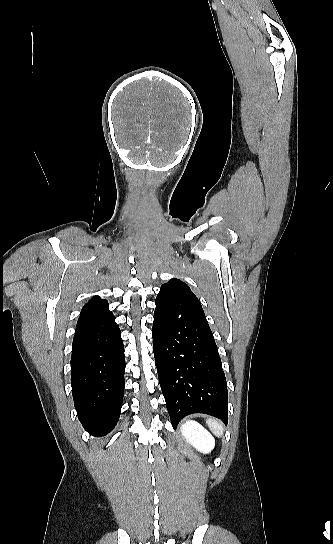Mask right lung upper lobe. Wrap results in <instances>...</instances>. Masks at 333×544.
I'll list each match as a JSON object with an SVG mask.
<instances>
[{
  "mask_svg": "<svg viewBox=\"0 0 333 544\" xmlns=\"http://www.w3.org/2000/svg\"><path fill=\"white\" fill-rule=\"evenodd\" d=\"M108 306L107 300L101 299L99 296H94L83 306L77 325L110 314L111 311L108 309Z\"/></svg>",
  "mask_w": 333,
  "mask_h": 544,
  "instance_id": "right-lung-upper-lobe-1",
  "label": "right lung upper lobe"
}]
</instances>
